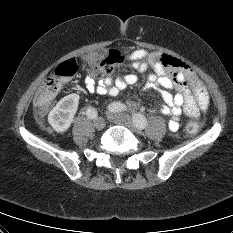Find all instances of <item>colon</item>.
Returning a JSON list of instances; mask_svg holds the SVG:
<instances>
[{"label":"colon","mask_w":233,"mask_h":233,"mask_svg":"<svg viewBox=\"0 0 233 233\" xmlns=\"http://www.w3.org/2000/svg\"><path fill=\"white\" fill-rule=\"evenodd\" d=\"M123 60L124 56L119 51H111L101 63L92 68L91 75L101 77L110 74L115 66L119 65ZM77 70L78 66L75 60H67L58 65L53 75L44 81L34 96V106L39 117H42L50 109L64 82L74 76ZM200 128V122L194 119L190 120L186 125V131L189 134L197 133Z\"/></svg>","instance_id":"obj_1"}]
</instances>
